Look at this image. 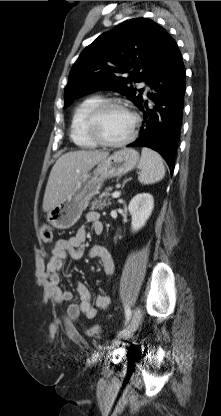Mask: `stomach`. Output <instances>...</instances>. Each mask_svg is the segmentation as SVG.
Segmentation results:
<instances>
[{
	"label": "stomach",
	"mask_w": 221,
	"mask_h": 416,
	"mask_svg": "<svg viewBox=\"0 0 221 416\" xmlns=\"http://www.w3.org/2000/svg\"><path fill=\"white\" fill-rule=\"evenodd\" d=\"M139 161V153L131 148L114 152L99 162L92 172L85 173L71 192L47 214V222L56 229L72 227L81 217L90 200L99 193L104 180L126 174Z\"/></svg>",
	"instance_id": "obj_1"
}]
</instances>
